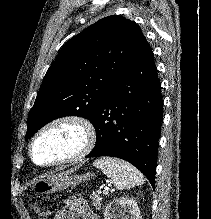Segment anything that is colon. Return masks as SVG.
Wrapping results in <instances>:
<instances>
[{
    "label": "colon",
    "instance_id": "1",
    "mask_svg": "<svg viewBox=\"0 0 211 219\" xmlns=\"http://www.w3.org/2000/svg\"><path fill=\"white\" fill-rule=\"evenodd\" d=\"M29 207L38 219H49L56 211L57 204L52 198L34 196L29 200Z\"/></svg>",
    "mask_w": 211,
    "mask_h": 219
}]
</instances>
